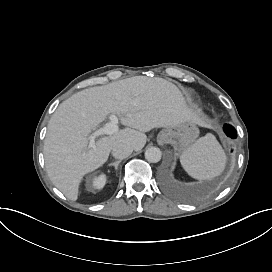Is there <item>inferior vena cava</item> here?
<instances>
[{"label":"inferior vena cava","mask_w":272,"mask_h":272,"mask_svg":"<svg viewBox=\"0 0 272 272\" xmlns=\"http://www.w3.org/2000/svg\"><path fill=\"white\" fill-rule=\"evenodd\" d=\"M133 151V148L127 144L119 143L112 148V155L117 159L128 157Z\"/></svg>","instance_id":"602c4592"}]
</instances>
